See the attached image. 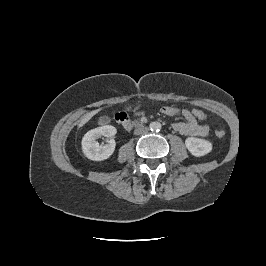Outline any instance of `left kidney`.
<instances>
[{"instance_id": "5707ae66", "label": "left kidney", "mask_w": 266, "mask_h": 266, "mask_svg": "<svg viewBox=\"0 0 266 266\" xmlns=\"http://www.w3.org/2000/svg\"><path fill=\"white\" fill-rule=\"evenodd\" d=\"M185 145L189 152L196 157L204 156L212 150L210 141L195 137H188L185 140Z\"/></svg>"}]
</instances>
